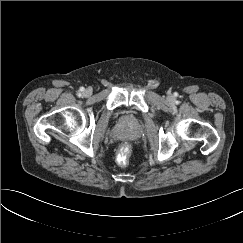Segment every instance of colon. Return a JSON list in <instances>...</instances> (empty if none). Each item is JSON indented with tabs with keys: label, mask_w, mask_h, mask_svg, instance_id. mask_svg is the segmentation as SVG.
Masks as SVG:
<instances>
[{
	"label": "colon",
	"mask_w": 243,
	"mask_h": 243,
	"mask_svg": "<svg viewBox=\"0 0 243 243\" xmlns=\"http://www.w3.org/2000/svg\"><path fill=\"white\" fill-rule=\"evenodd\" d=\"M131 154V145L129 143H122L117 151V162L121 166H125L128 163Z\"/></svg>",
	"instance_id": "colon-1"
}]
</instances>
